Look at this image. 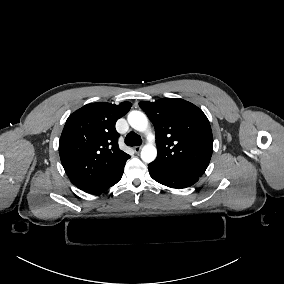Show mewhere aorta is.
<instances>
[{"label": "aorta", "mask_w": 284, "mask_h": 284, "mask_svg": "<svg viewBox=\"0 0 284 284\" xmlns=\"http://www.w3.org/2000/svg\"><path fill=\"white\" fill-rule=\"evenodd\" d=\"M127 119L128 123L133 129L139 132H149V122L147 116L141 111H131L128 114ZM148 139L150 142L144 145L141 150V159L146 163L154 161L157 156V149L152 143L154 140V135L149 133Z\"/></svg>", "instance_id": "aorta-1"}]
</instances>
